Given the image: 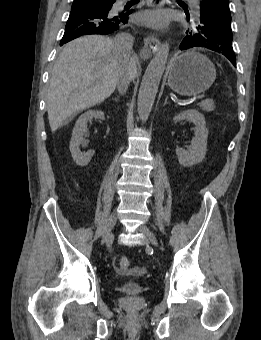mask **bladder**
Wrapping results in <instances>:
<instances>
[{"label":"bladder","mask_w":261,"mask_h":340,"mask_svg":"<svg viewBox=\"0 0 261 340\" xmlns=\"http://www.w3.org/2000/svg\"><path fill=\"white\" fill-rule=\"evenodd\" d=\"M143 288V281L131 278L125 279L120 285V291L130 297L139 295L143 291Z\"/></svg>","instance_id":"1"}]
</instances>
